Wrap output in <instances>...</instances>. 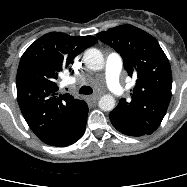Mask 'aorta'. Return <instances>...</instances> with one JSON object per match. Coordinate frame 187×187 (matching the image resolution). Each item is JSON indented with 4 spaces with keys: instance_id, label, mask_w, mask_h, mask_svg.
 <instances>
[{
    "instance_id": "obj_1",
    "label": "aorta",
    "mask_w": 187,
    "mask_h": 187,
    "mask_svg": "<svg viewBox=\"0 0 187 187\" xmlns=\"http://www.w3.org/2000/svg\"><path fill=\"white\" fill-rule=\"evenodd\" d=\"M83 61L87 68L97 71L104 67V58L100 50L96 48H89L84 52ZM98 106L102 111H111L115 107V99L112 95H103Z\"/></svg>"
}]
</instances>
